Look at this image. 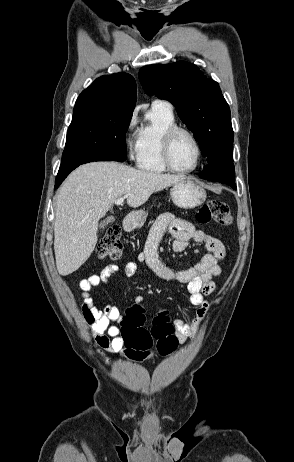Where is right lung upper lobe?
<instances>
[{
    "mask_svg": "<svg viewBox=\"0 0 294 462\" xmlns=\"http://www.w3.org/2000/svg\"><path fill=\"white\" fill-rule=\"evenodd\" d=\"M137 87L133 76L115 73L97 78L77 98L74 110L102 109L132 113Z\"/></svg>",
    "mask_w": 294,
    "mask_h": 462,
    "instance_id": "obj_1",
    "label": "right lung upper lobe"
}]
</instances>
